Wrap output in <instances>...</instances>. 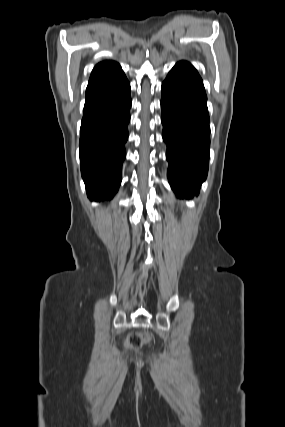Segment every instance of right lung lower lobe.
<instances>
[{"instance_id": "98d812e1", "label": "right lung lower lobe", "mask_w": 285, "mask_h": 427, "mask_svg": "<svg viewBox=\"0 0 285 427\" xmlns=\"http://www.w3.org/2000/svg\"><path fill=\"white\" fill-rule=\"evenodd\" d=\"M130 107V84L121 67L89 80L79 146L81 174L91 201L110 200L118 191Z\"/></svg>"}]
</instances>
